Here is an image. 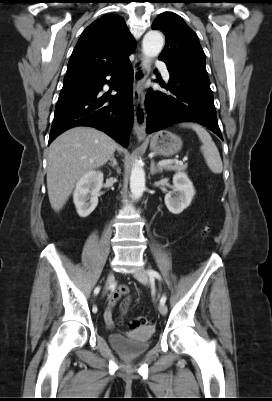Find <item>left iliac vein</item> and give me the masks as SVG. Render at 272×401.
Masks as SVG:
<instances>
[{"instance_id": "obj_1", "label": "left iliac vein", "mask_w": 272, "mask_h": 401, "mask_svg": "<svg viewBox=\"0 0 272 401\" xmlns=\"http://www.w3.org/2000/svg\"><path fill=\"white\" fill-rule=\"evenodd\" d=\"M134 277L140 281L143 284H147L148 283V275L146 273V271L142 268L138 269L137 271L134 272ZM158 310L161 313V315H166L167 314V307L165 304H159L158 305Z\"/></svg>"}]
</instances>
